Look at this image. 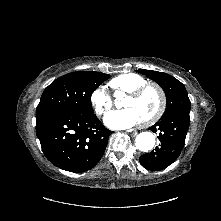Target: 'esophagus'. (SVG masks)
Instances as JSON below:
<instances>
[{
	"instance_id": "34e87169",
	"label": "esophagus",
	"mask_w": 221,
	"mask_h": 221,
	"mask_svg": "<svg viewBox=\"0 0 221 221\" xmlns=\"http://www.w3.org/2000/svg\"><path fill=\"white\" fill-rule=\"evenodd\" d=\"M128 132H131V131H128ZM131 135H132V136H136L137 133H136V132H132Z\"/></svg>"
}]
</instances>
